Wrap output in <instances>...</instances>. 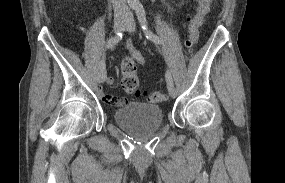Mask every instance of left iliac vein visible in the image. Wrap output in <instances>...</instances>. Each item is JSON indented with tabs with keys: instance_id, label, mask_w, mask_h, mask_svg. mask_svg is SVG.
<instances>
[{
	"instance_id": "obj_1",
	"label": "left iliac vein",
	"mask_w": 285,
	"mask_h": 183,
	"mask_svg": "<svg viewBox=\"0 0 285 183\" xmlns=\"http://www.w3.org/2000/svg\"><path fill=\"white\" fill-rule=\"evenodd\" d=\"M124 29L128 32H134L135 30V22L132 15L127 16L126 23L124 25ZM168 91L171 97H176L177 91L173 84V82L168 83Z\"/></svg>"
}]
</instances>
